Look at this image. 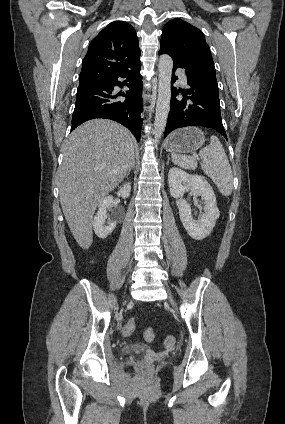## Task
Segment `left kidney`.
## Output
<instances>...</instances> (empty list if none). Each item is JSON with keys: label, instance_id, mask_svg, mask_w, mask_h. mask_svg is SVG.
Listing matches in <instances>:
<instances>
[{"label": "left kidney", "instance_id": "obj_1", "mask_svg": "<svg viewBox=\"0 0 285 424\" xmlns=\"http://www.w3.org/2000/svg\"><path fill=\"white\" fill-rule=\"evenodd\" d=\"M168 183L171 196L177 199L176 205L185 230L193 239L203 240L212 232L220 215L213 188L204 177L186 173L177 167L169 170ZM189 190L192 195L201 196L205 203L204 213L197 221L193 219L190 205L183 199L184 193Z\"/></svg>", "mask_w": 285, "mask_h": 424}]
</instances>
